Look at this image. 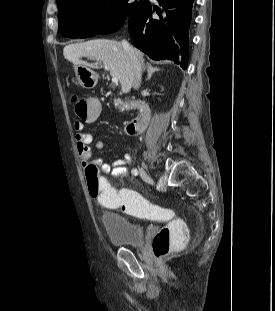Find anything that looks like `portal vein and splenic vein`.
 <instances>
[{"mask_svg":"<svg viewBox=\"0 0 275 311\" xmlns=\"http://www.w3.org/2000/svg\"><path fill=\"white\" fill-rule=\"evenodd\" d=\"M107 69V67H105ZM112 83L118 84V78L117 77H112Z\"/></svg>","mask_w":275,"mask_h":311,"instance_id":"obj_1","label":"portal vein and splenic vein"}]
</instances>
